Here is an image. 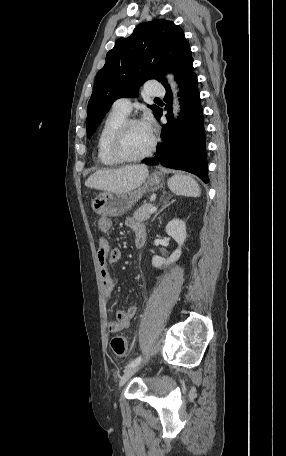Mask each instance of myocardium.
Returning a JSON list of instances; mask_svg holds the SVG:
<instances>
[{"label":"myocardium","instance_id":"obj_1","mask_svg":"<svg viewBox=\"0 0 286 456\" xmlns=\"http://www.w3.org/2000/svg\"><path fill=\"white\" fill-rule=\"evenodd\" d=\"M137 124H142V125H146L145 122H143L142 120L140 119H136V118H126L118 127L117 129L115 130V132L113 133L112 137H111V140H110V143H109V151H110V154L112 155V157L117 160L118 162L120 163H132V162H140L146 158H148L149 156L152 155V153L155 151L156 149V146H157V137L156 135L154 134V132L152 131V129H150L151 131V144H150V147L149 149L141 156H138V157H127L125 156L121 150H120V145H121V141H122V138L125 134V132L127 131V129L133 125H137Z\"/></svg>","mask_w":286,"mask_h":456}]
</instances>
